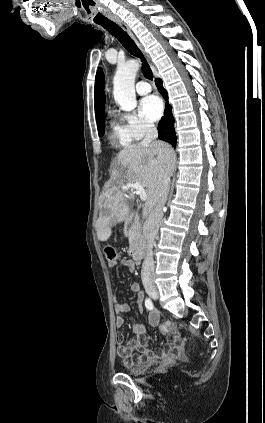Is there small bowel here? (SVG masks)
Masks as SVG:
<instances>
[{
    "instance_id": "obj_1",
    "label": "small bowel",
    "mask_w": 265,
    "mask_h": 423,
    "mask_svg": "<svg viewBox=\"0 0 265 423\" xmlns=\"http://www.w3.org/2000/svg\"><path fill=\"white\" fill-rule=\"evenodd\" d=\"M120 265H125L130 272L135 269V262L126 259H116L109 261V268L113 269ZM131 291L137 294V305L139 309H142L143 294L139 283L134 282L131 284ZM119 294L114 295L115 299V325L120 328L124 325L125 315L129 312L130 306L127 302L118 301ZM159 322V313L156 309H151L148 317V324L150 326H156ZM146 324L135 323L132 326L133 337L125 343L124 336L117 334L116 339L118 343V355L123 359L126 366H138L146 361H154L156 359L170 360L174 358H181L183 351V340L176 332H170L168 336V342L163 349L154 351L148 346L149 337L146 334Z\"/></svg>"
}]
</instances>
